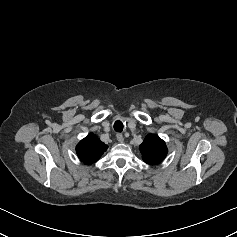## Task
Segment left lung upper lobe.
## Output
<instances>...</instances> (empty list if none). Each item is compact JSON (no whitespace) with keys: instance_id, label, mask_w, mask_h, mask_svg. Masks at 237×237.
Masks as SVG:
<instances>
[{"instance_id":"1","label":"left lung upper lobe","mask_w":237,"mask_h":237,"mask_svg":"<svg viewBox=\"0 0 237 237\" xmlns=\"http://www.w3.org/2000/svg\"><path fill=\"white\" fill-rule=\"evenodd\" d=\"M140 151L144 162L155 165L162 162L168 150L162 139L157 135L148 134L140 145Z\"/></svg>"}]
</instances>
